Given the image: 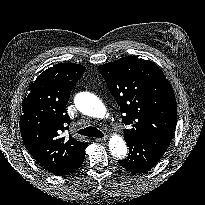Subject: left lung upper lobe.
I'll list each match as a JSON object with an SVG mask.
<instances>
[{
    "mask_svg": "<svg viewBox=\"0 0 205 205\" xmlns=\"http://www.w3.org/2000/svg\"><path fill=\"white\" fill-rule=\"evenodd\" d=\"M98 69L120 106L122 121L132 127L125 130L124 138L173 136L176 99L169 81L153 62L127 56Z\"/></svg>",
    "mask_w": 205,
    "mask_h": 205,
    "instance_id": "1",
    "label": "left lung upper lobe"
}]
</instances>
